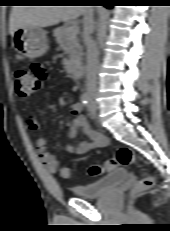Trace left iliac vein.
<instances>
[{
  "label": "left iliac vein",
  "mask_w": 170,
  "mask_h": 231,
  "mask_svg": "<svg viewBox=\"0 0 170 231\" xmlns=\"http://www.w3.org/2000/svg\"><path fill=\"white\" fill-rule=\"evenodd\" d=\"M94 107H96V105L94 104V103H91L90 105H89V111H90V114L91 115H94Z\"/></svg>",
  "instance_id": "4c4485c4"
}]
</instances>
